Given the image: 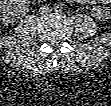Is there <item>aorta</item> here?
Returning a JSON list of instances; mask_svg holds the SVG:
<instances>
[{
	"mask_svg": "<svg viewBox=\"0 0 111 106\" xmlns=\"http://www.w3.org/2000/svg\"><path fill=\"white\" fill-rule=\"evenodd\" d=\"M56 9H57V10H61L62 7H61L60 5H57V6H56Z\"/></svg>",
	"mask_w": 111,
	"mask_h": 106,
	"instance_id": "762f6f07",
	"label": "aorta"
}]
</instances>
